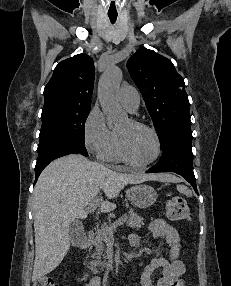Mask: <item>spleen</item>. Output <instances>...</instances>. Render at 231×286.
Instances as JSON below:
<instances>
[{"label": "spleen", "mask_w": 231, "mask_h": 286, "mask_svg": "<svg viewBox=\"0 0 231 286\" xmlns=\"http://www.w3.org/2000/svg\"><path fill=\"white\" fill-rule=\"evenodd\" d=\"M177 190H178L180 193L186 195L187 197L192 196V191L189 190L185 185H177Z\"/></svg>", "instance_id": "obj_1"}]
</instances>
